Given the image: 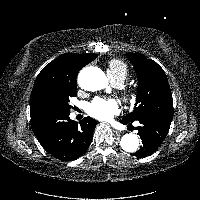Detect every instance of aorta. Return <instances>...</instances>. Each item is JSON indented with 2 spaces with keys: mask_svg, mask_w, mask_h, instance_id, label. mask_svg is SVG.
I'll return each mask as SVG.
<instances>
[{
  "mask_svg": "<svg viewBox=\"0 0 200 200\" xmlns=\"http://www.w3.org/2000/svg\"><path fill=\"white\" fill-rule=\"evenodd\" d=\"M78 82L87 91H97L107 86V77L101 69L87 67L79 73ZM139 143V137L133 133L125 134L120 141L121 148L130 153L137 151Z\"/></svg>",
  "mask_w": 200,
  "mask_h": 200,
  "instance_id": "762f6f07",
  "label": "aorta"
}]
</instances>
